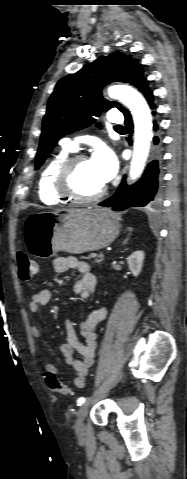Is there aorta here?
Returning a JSON list of instances; mask_svg holds the SVG:
<instances>
[{"label": "aorta", "instance_id": "obj_1", "mask_svg": "<svg viewBox=\"0 0 187 479\" xmlns=\"http://www.w3.org/2000/svg\"><path fill=\"white\" fill-rule=\"evenodd\" d=\"M111 98L127 106L134 119V152L130 166V177L135 180L142 173L148 157L152 139V117L150 109L140 93L131 87L118 85L108 89Z\"/></svg>", "mask_w": 187, "mask_h": 479}]
</instances>
